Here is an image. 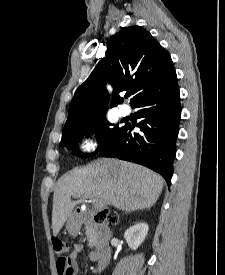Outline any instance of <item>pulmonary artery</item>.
<instances>
[{"label":"pulmonary artery","instance_id":"e3ab8cb5","mask_svg":"<svg viewBox=\"0 0 225 275\" xmlns=\"http://www.w3.org/2000/svg\"><path fill=\"white\" fill-rule=\"evenodd\" d=\"M129 112H130V109L127 106H122L118 109V113L120 116H127Z\"/></svg>","mask_w":225,"mask_h":275}]
</instances>
